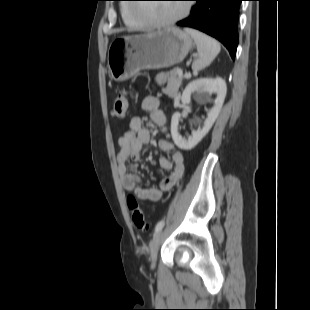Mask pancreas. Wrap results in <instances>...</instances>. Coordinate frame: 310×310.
<instances>
[{
	"instance_id": "obj_1",
	"label": "pancreas",
	"mask_w": 310,
	"mask_h": 310,
	"mask_svg": "<svg viewBox=\"0 0 310 310\" xmlns=\"http://www.w3.org/2000/svg\"><path fill=\"white\" fill-rule=\"evenodd\" d=\"M182 80L183 76H179L177 74V69L167 73H161L156 77V81L159 85H163L165 82H167V86L166 88L162 89V92L168 95L170 98H175L177 96Z\"/></svg>"
}]
</instances>
